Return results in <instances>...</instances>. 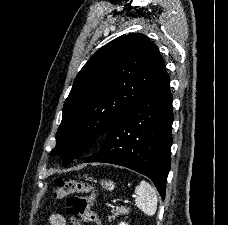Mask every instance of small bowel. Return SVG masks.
I'll list each match as a JSON object with an SVG mask.
<instances>
[{"label":"small bowel","instance_id":"1","mask_svg":"<svg viewBox=\"0 0 228 225\" xmlns=\"http://www.w3.org/2000/svg\"><path fill=\"white\" fill-rule=\"evenodd\" d=\"M49 225H67L66 219L59 213H52L49 216ZM70 225H81L77 218H70Z\"/></svg>","mask_w":228,"mask_h":225}]
</instances>
